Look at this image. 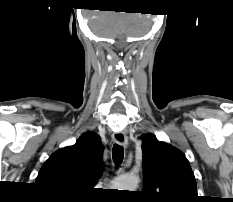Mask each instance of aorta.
<instances>
[{
	"label": "aorta",
	"instance_id": "aorta-1",
	"mask_svg": "<svg viewBox=\"0 0 233 202\" xmlns=\"http://www.w3.org/2000/svg\"><path fill=\"white\" fill-rule=\"evenodd\" d=\"M139 178L133 175H122L114 180V187L119 190L135 191Z\"/></svg>",
	"mask_w": 233,
	"mask_h": 202
}]
</instances>
